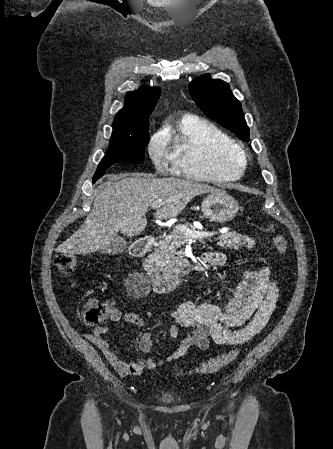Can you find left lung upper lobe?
Instances as JSON below:
<instances>
[{"label":"left lung upper lobe","instance_id":"left-lung-upper-lobe-1","mask_svg":"<svg viewBox=\"0 0 333 449\" xmlns=\"http://www.w3.org/2000/svg\"><path fill=\"white\" fill-rule=\"evenodd\" d=\"M189 92L207 117L236 133L242 140H249V128L241 104L226 82L211 79L207 74L193 80L189 84Z\"/></svg>","mask_w":333,"mask_h":449}]
</instances>
